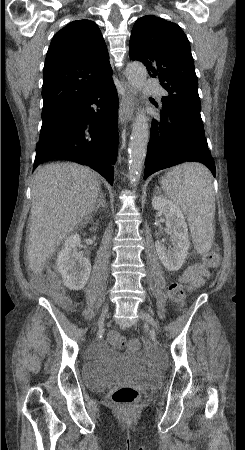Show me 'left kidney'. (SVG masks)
<instances>
[{"mask_svg":"<svg viewBox=\"0 0 245 450\" xmlns=\"http://www.w3.org/2000/svg\"><path fill=\"white\" fill-rule=\"evenodd\" d=\"M152 206L165 216L166 227L172 235V243L168 248L162 240L155 242L158 257L167 270L177 271L182 267L190 248L185 217L179 206L161 195L153 197Z\"/></svg>","mask_w":245,"mask_h":450,"instance_id":"5707ae66","label":"left kidney"}]
</instances>
